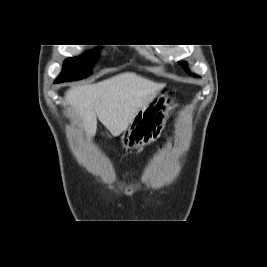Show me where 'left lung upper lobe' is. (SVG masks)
Masks as SVG:
<instances>
[{
	"instance_id": "5c2ea615",
	"label": "left lung upper lobe",
	"mask_w": 267,
	"mask_h": 267,
	"mask_svg": "<svg viewBox=\"0 0 267 267\" xmlns=\"http://www.w3.org/2000/svg\"><path fill=\"white\" fill-rule=\"evenodd\" d=\"M181 65L186 69V63H181ZM196 77V75H194Z\"/></svg>"
}]
</instances>
